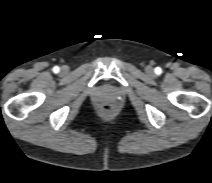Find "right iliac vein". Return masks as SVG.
<instances>
[{"label": "right iliac vein", "instance_id": "63e3f726", "mask_svg": "<svg viewBox=\"0 0 212 183\" xmlns=\"http://www.w3.org/2000/svg\"><path fill=\"white\" fill-rule=\"evenodd\" d=\"M61 72H62L63 74H66V73L68 72V68H67L66 66H63V67L61 68Z\"/></svg>", "mask_w": 212, "mask_h": 183}]
</instances>
